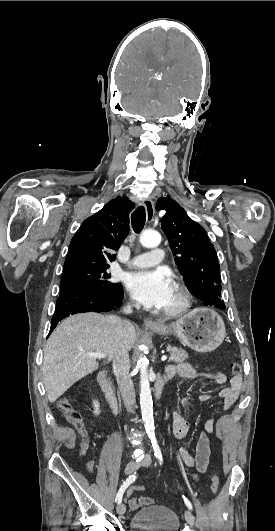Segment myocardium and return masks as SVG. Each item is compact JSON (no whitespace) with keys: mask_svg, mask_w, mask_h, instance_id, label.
<instances>
[{"mask_svg":"<svg viewBox=\"0 0 275 531\" xmlns=\"http://www.w3.org/2000/svg\"><path fill=\"white\" fill-rule=\"evenodd\" d=\"M173 286L178 293L177 302L171 307H168L164 310H160L161 314L169 317L177 316L185 312L190 306L191 300L189 290L185 285H183L179 281H175L173 283Z\"/></svg>","mask_w":275,"mask_h":531,"instance_id":"1","label":"myocardium"}]
</instances>
